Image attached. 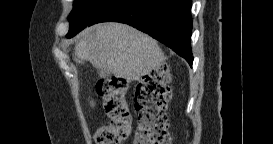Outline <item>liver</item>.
Masks as SVG:
<instances>
[{
	"label": "liver",
	"instance_id": "1",
	"mask_svg": "<svg viewBox=\"0 0 273 144\" xmlns=\"http://www.w3.org/2000/svg\"><path fill=\"white\" fill-rule=\"evenodd\" d=\"M75 54L77 63L89 61L93 67L128 81L140 80L165 59L150 36L115 22L85 29L75 45ZM90 106H95L93 100Z\"/></svg>",
	"mask_w": 273,
	"mask_h": 144
}]
</instances>
